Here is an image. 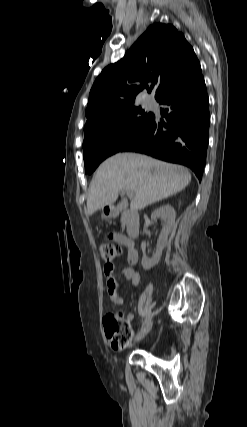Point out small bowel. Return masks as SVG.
I'll list each match as a JSON object with an SVG mask.
<instances>
[{
    "instance_id": "obj_1",
    "label": "small bowel",
    "mask_w": 247,
    "mask_h": 427,
    "mask_svg": "<svg viewBox=\"0 0 247 427\" xmlns=\"http://www.w3.org/2000/svg\"><path fill=\"white\" fill-rule=\"evenodd\" d=\"M113 240L128 248L126 263L122 268V275L131 282L133 286H137L140 282V273L134 269L138 262V252L134 248L133 243L127 239L126 236L121 234H114L112 236ZM115 267L112 263L105 264L103 268L104 275L106 277L107 289L109 299L112 302L114 308L121 306L123 304V298L119 293V283L114 276ZM134 320V315L132 313L128 314L125 318V321L131 323Z\"/></svg>"
}]
</instances>
